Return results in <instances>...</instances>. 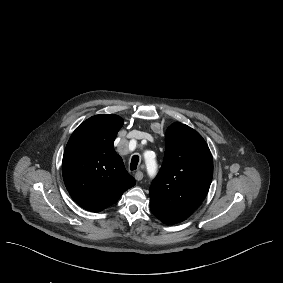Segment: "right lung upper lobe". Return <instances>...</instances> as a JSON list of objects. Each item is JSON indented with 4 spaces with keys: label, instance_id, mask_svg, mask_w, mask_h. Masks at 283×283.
<instances>
[{
    "label": "right lung upper lobe",
    "instance_id": "right-lung-upper-lobe-1",
    "mask_svg": "<svg viewBox=\"0 0 283 283\" xmlns=\"http://www.w3.org/2000/svg\"><path fill=\"white\" fill-rule=\"evenodd\" d=\"M122 126L123 119L117 115H96L84 121L67 143L64 183L73 200L86 210H104L135 185L114 150Z\"/></svg>",
    "mask_w": 283,
    "mask_h": 283
}]
</instances>
